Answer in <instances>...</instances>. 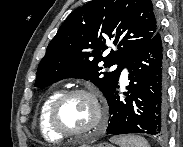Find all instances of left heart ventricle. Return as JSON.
I'll list each match as a JSON object with an SVG mask.
<instances>
[{
    "label": "left heart ventricle",
    "instance_id": "1",
    "mask_svg": "<svg viewBox=\"0 0 183 147\" xmlns=\"http://www.w3.org/2000/svg\"><path fill=\"white\" fill-rule=\"evenodd\" d=\"M95 117L91 101L82 95L68 98L59 110V120L70 130H80L89 126Z\"/></svg>",
    "mask_w": 183,
    "mask_h": 147
}]
</instances>
